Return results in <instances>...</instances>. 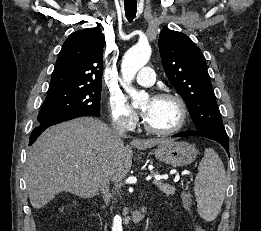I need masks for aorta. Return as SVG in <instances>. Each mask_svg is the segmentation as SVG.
<instances>
[{
	"label": "aorta",
	"instance_id": "762f6f07",
	"mask_svg": "<svg viewBox=\"0 0 261 231\" xmlns=\"http://www.w3.org/2000/svg\"><path fill=\"white\" fill-rule=\"evenodd\" d=\"M151 56V48L147 43H138L130 48L124 55L121 73L123 77L122 86L132 99V105L138 106L140 102L148 99L145 91L135 90L131 82L136 73L149 61ZM112 231H123L122 219L120 215H116L113 220Z\"/></svg>",
	"mask_w": 261,
	"mask_h": 231
}]
</instances>
